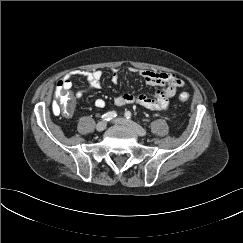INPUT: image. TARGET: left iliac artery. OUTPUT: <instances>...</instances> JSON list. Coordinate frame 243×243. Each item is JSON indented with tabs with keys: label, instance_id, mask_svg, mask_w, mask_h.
Instances as JSON below:
<instances>
[{
	"label": "left iliac artery",
	"instance_id": "44dca946",
	"mask_svg": "<svg viewBox=\"0 0 243 243\" xmlns=\"http://www.w3.org/2000/svg\"><path fill=\"white\" fill-rule=\"evenodd\" d=\"M131 112L130 111H126L125 112V117L127 118V119H130L131 118Z\"/></svg>",
	"mask_w": 243,
	"mask_h": 243
}]
</instances>
